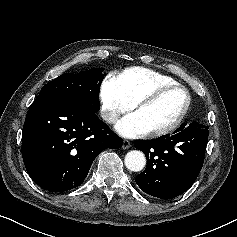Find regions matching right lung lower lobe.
Wrapping results in <instances>:
<instances>
[{
  "label": "right lung lower lobe",
  "mask_w": 237,
  "mask_h": 237,
  "mask_svg": "<svg viewBox=\"0 0 237 237\" xmlns=\"http://www.w3.org/2000/svg\"><path fill=\"white\" fill-rule=\"evenodd\" d=\"M122 144L96 113L57 97H37L22 130L26 170L35 183L53 192L80 186L94 159Z\"/></svg>",
  "instance_id": "98d812e1"
}]
</instances>
